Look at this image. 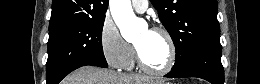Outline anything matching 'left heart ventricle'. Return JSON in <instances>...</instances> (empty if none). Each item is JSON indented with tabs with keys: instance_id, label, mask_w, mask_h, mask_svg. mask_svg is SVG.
<instances>
[{
	"instance_id": "obj_1",
	"label": "left heart ventricle",
	"mask_w": 260,
	"mask_h": 84,
	"mask_svg": "<svg viewBox=\"0 0 260 84\" xmlns=\"http://www.w3.org/2000/svg\"><path fill=\"white\" fill-rule=\"evenodd\" d=\"M139 48L144 62L151 68H163L169 57V47L166 39L149 30L143 31L135 42Z\"/></svg>"
}]
</instances>
